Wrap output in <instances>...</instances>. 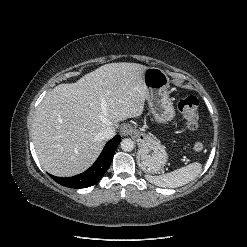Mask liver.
<instances>
[{
	"label": "liver",
	"instance_id": "6515ba94",
	"mask_svg": "<svg viewBox=\"0 0 247 247\" xmlns=\"http://www.w3.org/2000/svg\"><path fill=\"white\" fill-rule=\"evenodd\" d=\"M146 69L137 63H109L47 93L32 126L42 167L60 177L88 169L105 145L102 131L141 116L147 100Z\"/></svg>",
	"mask_w": 247,
	"mask_h": 247
}]
</instances>
